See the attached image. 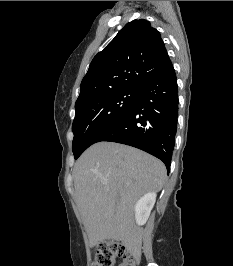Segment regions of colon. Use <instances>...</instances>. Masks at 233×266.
Segmentation results:
<instances>
[{"instance_id": "colon-1", "label": "colon", "mask_w": 233, "mask_h": 266, "mask_svg": "<svg viewBox=\"0 0 233 266\" xmlns=\"http://www.w3.org/2000/svg\"><path fill=\"white\" fill-rule=\"evenodd\" d=\"M117 258H122L119 266H137L138 256L126 251L124 246L116 241L100 245L93 266H115Z\"/></svg>"}]
</instances>
